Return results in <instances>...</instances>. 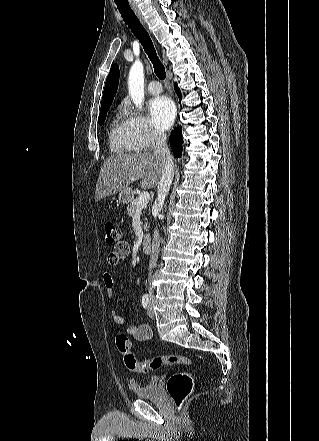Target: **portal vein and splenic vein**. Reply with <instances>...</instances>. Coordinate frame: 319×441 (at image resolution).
<instances>
[{
	"instance_id": "obj_1",
	"label": "portal vein and splenic vein",
	"mask_w": 319,
	"mask_h": 441,
	"mask_svg": "<svg viewBox=\"0 0 319 441\" xmlns=\"http://www.w3.org/2000/svg\"><path fill=\"white\" fill-rule=\"evenodd\" d=\"M150 200V194L147 191L142 192L139 195V201H138V211H141V209L146 206V204Z\"/></svg>"
}]
</instances>
